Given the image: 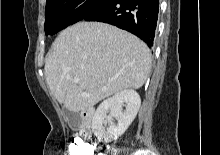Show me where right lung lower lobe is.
I'll return each instance as SVG.
<instances>
[{
  "mask_svg": "<svg viewBox=\"0 0 220 155\" xmlns=\"http://www.w3.org/2000/svg\"><path fill=\"white\" fill-rule=\"evenodd\" d=\"M158 11V0H113L106 8L84 20L115 25L138 36L151 47Z\"/></svg>",
  "mask_w": 220,
  "mask_h": 155,
  "instance_id": "1",
  "label": "right lung lower lobe"
}]
</instances>
